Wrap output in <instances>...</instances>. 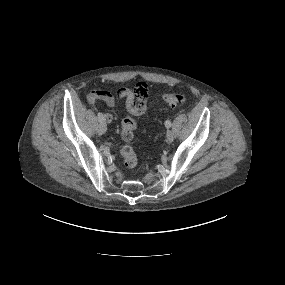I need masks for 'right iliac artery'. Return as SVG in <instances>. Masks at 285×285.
<instances>
[{
  "instance_id": "1",
  "label": "right iliac artery",
  "mask_w": 285,
  "mask_h": 285,
  "mask_svg": "<svg viewBox=\"0 0 285 285\" xmlns=\"http://www.w3.org/2000/svg\"><path fill=\"white\" fill-rule=\"evenodd\" d=\"M98 121L99 122H103L104 121L102 113H98Z\"/></svg>"
}]
</instances>
